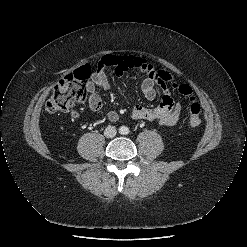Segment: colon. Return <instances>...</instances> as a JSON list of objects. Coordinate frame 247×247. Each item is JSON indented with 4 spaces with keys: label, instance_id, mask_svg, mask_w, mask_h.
Listing matches in <instances>:
<instances>
[{
    "label": "colon",
    "instance_id": "obj_1",
    "mask_svg": "<svg viewBox=\"0 0 247 247\" xmlns=\"http://www.w3.org/2000/svg\"><path fill=\"white\" fill-rule=\"evenodd\" d=\"M91 74L89 66L85 65L62 79L54 88L45 105L47 113L72 111L82 105L86 100V82ZM171 87L189 100V125L197 127L201 124V106L192 93V89L186 85H174Z\"/></svg>",
    "mask_w": 247,
    "mask_h": 247
}]
</instances>
